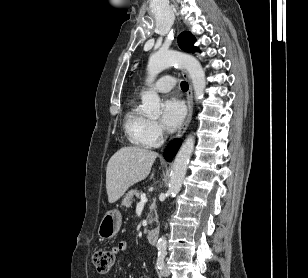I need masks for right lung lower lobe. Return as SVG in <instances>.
<instances>
[{
	"instance_id": "obj_1",
	"label": "right lung lower lobe",
	"mask_w": 308,
	"mask_h": 278,
	"mask_svg": "<svg viewBox=\"0 0 308 278\" xmlns=\"http://www.w3.org/2000/svg\"><path fill=\"white\" fill-rule=\"evenodd\" d=\"M179 146H180L179 140H174V141L169 143V145L166 147V150L164 151V157L167 161L171 162V160L175 156Z\"/></svg>"
}]
</instances>
